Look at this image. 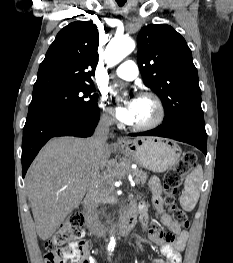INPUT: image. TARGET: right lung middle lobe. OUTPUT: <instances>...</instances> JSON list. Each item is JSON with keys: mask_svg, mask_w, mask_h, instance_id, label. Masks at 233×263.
I'll return each instance as SVG.
<instances>
[{"mask_svg": "<svg viewBox=\"0 0 233 263\" xmlns=\"http://www.w3.org/2000/svg\"><path fill=\"white\" fill-rule=\"evenodd\" d=\"M93 85L82 84L32 95L25 124L64 115L79 114L97 106Z\"/></svg>", "mask_w": 233, "mask_h": 263, "instance_id": "dd1d6c3e", "label": "right lung middle lobe"}]
</instances>
